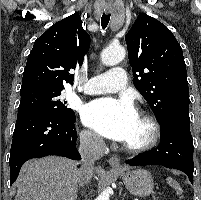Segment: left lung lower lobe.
Segmentation results:
<instances>
[{
  "label": "left lung lower lobe",
  "mask_w": 201,
  "mask_h": 200,
  "mask_svg": "<svg viewBox=\"0 0 201 200\" xmlns=\"http://www.w3.org/2000/svg\"><path fill=\"white\" fill-rule=\"evenodd\" d=\"M160 144L153 150L139 154L128 161L132 166L162 165L187 174L193 184V140L189 114L175 113L161 123Z\"/></svg>",
  "instance_id": "left-lung-lower-lobe-1"
}]
</instances>
